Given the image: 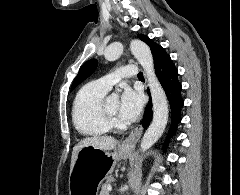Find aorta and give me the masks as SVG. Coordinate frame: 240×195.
I'll use <instances>...</instances> for the list:
<instances>
[{"label": "aorta", "instance_id": "obj_1", "mask_svg": "<svg viewBox=\"0 0 240 195\" xmlns=\"http://www.w3.org/2000/svg\"><path fill=\"white\" fill-rule=\"evenodd\" d=\"M123 50L124 46L120 42L110 44L105 50V60H109V62L118 60L121 54H123ZM130 50L145 72L153 101V121L148 129H146L140 145L142 151H146L161 137L166 127L168 121V103L165 92L155 76L153 58L149 46L144 44V42H140V40H132L130 42Z\"/></svg>", "mask_w": 240, "mask_h": 195}]
</instances>
